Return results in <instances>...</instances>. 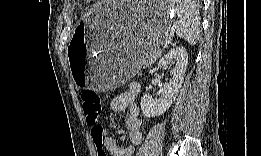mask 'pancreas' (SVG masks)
Masks as SVG:
<instances>
[{
    "instance_id": "cf45deb5",
    "label": "pancreas",
    "mask_w": 261,
    "mask_h": 156,
    "mask_svg": "<svg viewBox=\"0 0 261 156\" xmlns=\"http://www.w3.org/2000/svg\"><path fill=\"white\" fill-rule=\"evenodd\" d=\"M161 55V51H155L145 57L142 62L141 67H149L152 63H154L158 57Z\"/></svg>"
}]
</instances>
